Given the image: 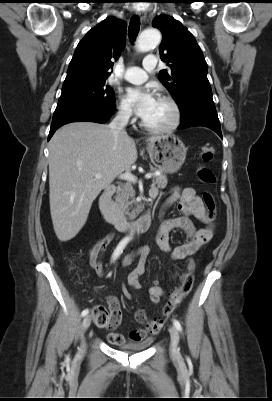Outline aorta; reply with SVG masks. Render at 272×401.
Listing matches in <instances>:
<instances>
[{"label":"aorta","instance_id":"obj_1","mask_svg":"<svg viewBox=\"0 0 272 401\" xmlns=\"http://www.w3.org/2000/svg\"><path fill=\"white\" fill-rule=\"evenodd\" d=\"M160 41L161 34L157 29H147L140 34L137 41V48L141 52H147L154 49Z\"/></svg>","mask_w":272,"mask_h":401}]
</instances>
